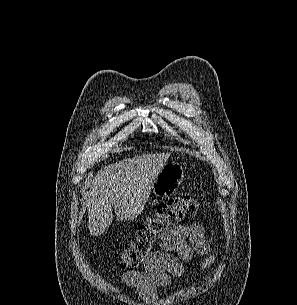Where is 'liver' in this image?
<instances>
[{"label": "liver", "instance_id": "1", "mask_svg": "<svg viewBox=\"0 0 297 305\" xmlns=\"http://www.w3.org/2000/svg\"><path fill=\"white\" fill-rule=\"evenodd\" d=\"M169 153L143 154L105 166L91 181L87 207L90 235L100 236L117 216L131 221L139 216L151 186Z\"/></svg>", "mask_w": 297, "mask_h": 305}]
</instances>
